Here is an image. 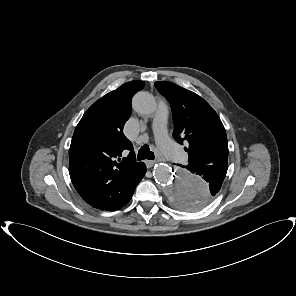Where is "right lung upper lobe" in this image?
<instances>
[{
	"label": "right lung upper lobe",
	"mask_w": 296,
	"mask_h": 296,
	"mask_svg": "<svg viewBox=\"0 0 296 296\" xmlns=\"http://www.w3.org/2000/svg\"><path fill=\"white\" fill-rule=\"evenodd\" d=\"M131 81L96 101L78 123L69 149V174L79 195L92 207L121 209L133 195L136 162L131 142L123 134L132 96L144 87ZM124 150L127 157L120 158Z\"/></svg>",
	"instance_id": "right-lung-upper-lobe-1"
}]
</instances>
